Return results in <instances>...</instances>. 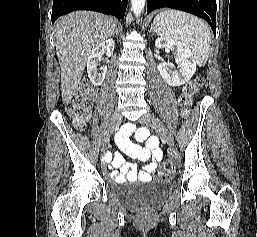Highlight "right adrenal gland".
<instances>
[{
	"mask_svg": "<svg viewBox=\"0 0 257 237\" xmlns=\"http://www.w3.org/2000/svg\"><path fill=\"white\" fill-rule=\"evenodd\" d=\"M115 34H116V35H118V34H119L118 29H116Z\"/></svg>",
	"mask_w": 257,
	"mask_h": 237,
	"instance_id": "2a0ac1e0",
	"label": "right adrenal gland"
}]
</instances>
